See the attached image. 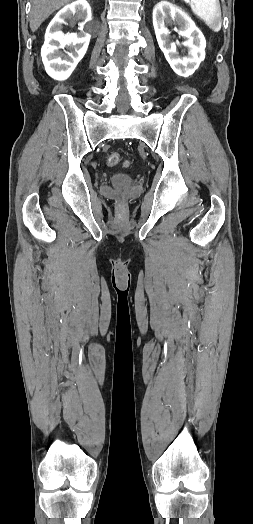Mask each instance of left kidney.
Returning <instances> with one entry per match:
<instances>
[{
	"label": "left kidney",
	"mask_w": 253,
	"mask_h": 524,
	"mask_svg": "<svg viewBox=\"0 0 253 524\" xmlns=\"http://www.w3.org/2000/svg\"><path fill=\"white\" fill-rule=\"evenodd\" d=\"M172 21L178 25L175 30L185 39L183 45L187 48V56H180L177 43L170 40L167 24ZM153 26L158 45L173 71L182 77L192 75L205 59L206 40L191 18L179 7L161 1L153 9Z\"/></svg>",
	"instance_id": "left-kidney-1"
}]
</instances>
